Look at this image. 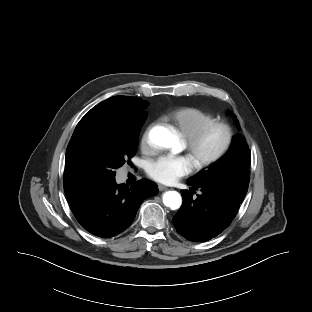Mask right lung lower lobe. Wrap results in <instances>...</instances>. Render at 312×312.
<instances>
[{
  "instance_id": "98d812e1",
  "label": "right lung lower lobe",
  "mask_w": 312,
  "mask_h": 312,
  "mask_svg": "<svg viewBox=\"0 0 312 312\" xmlns=\"http://www.w3.org/2000/svg\"><path fill=\"white\" fill-rule=\"evenodd\" d=\"M157 185L141 179L131 187L115 180L85 195L71 210L78 222L90 233L107 238L127 229L142 201L156 195Z\"/></svg>"
}]
</instances>
